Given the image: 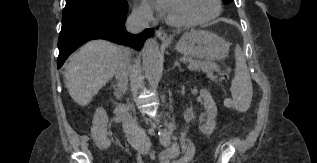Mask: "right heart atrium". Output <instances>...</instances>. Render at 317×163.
Here are the masks:
<instances>
[{
  "label": "right heart atrium",
  "instance_id": "d8ad5b80",
  "mask_svg": "<svg viewBox=\"0 0 317 163\" xmlns=\"http://www.w3.org/2000/svg\"><path fill=\"white\" fill-rule=\"evenodd\" d=\"M133 15L142 21L154 20V12L152 8L147 4H138L133 9Z\"/></svg>",
  "mask_w": 317,
  "mask_h": 163
}]
</instances>
